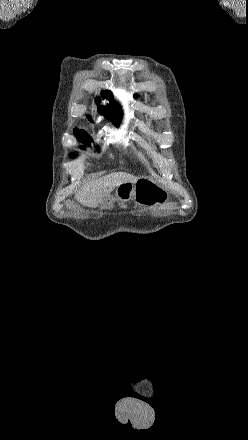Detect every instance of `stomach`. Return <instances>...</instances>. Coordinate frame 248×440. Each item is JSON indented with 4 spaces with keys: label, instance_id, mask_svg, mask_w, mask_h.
<instances>
[{
    "label": "stomach",
    "instance_id": "1",
    "mask_svg": "<svg viewBox=\"0 0 248 440\" xmlns=\"http://www.w3.org/2000/svg\"><path fill=\"white\" fill-rule=\"evenodd\" d=\"M167 190L148 178H140L135 183H123L116 187L115 198L107 197L102 205L111 207L115 200H134L141 206L162 205L168 201Z\"/></svg>",
    "mask_w": 248,
    "mask_h": 440
}]
</instances>
